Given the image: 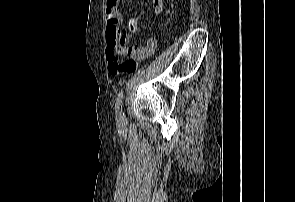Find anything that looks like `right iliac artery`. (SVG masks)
<instances>
[{
  "mask_svg": "<svg viewBox=\"0 0 295 202\" xmlns=\"http://www.w3.org/2000/svg\"><path fill=\"white\" fill-rule=\"evenodd\" d=\"M122 100H123V92L119 93L118 98L116 100V105H115L116 116L118 118L123 117V114H122Z\"/></svg>",
  "mask_w": 295,
  "mask_h": 202,
  "instance_id": "obj_1",
  "label": "right iliac artery"
}]
</instances>
